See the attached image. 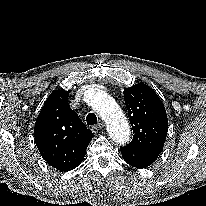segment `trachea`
<instances>
[{
	"label": "trachea",
	"mask_w": 206,
	"mask_h": 206,
	"mask_svg": "<svg viewBox=\"0 0 206 206\" xmlns=\"http://www.w3.org/2000/svg\"><path fill=\"white\" fill-rule=\"evenodd\" d=\"M87 125L97 124V117L94 113H89L86 117Z\"/></svg>",
	"instance_id": "trachea-1"
}]
</instances>
